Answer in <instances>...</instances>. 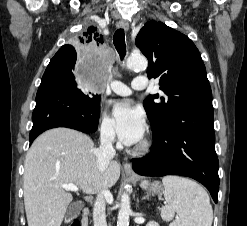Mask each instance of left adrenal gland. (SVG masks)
<instances>
[{
    "label": "left adrenal gland",
    "mask_w": 247,
    "mask_h": 226,
    "mask_svg": "<svg viewBox=\"0 0 247 226\" xmlns=\"http://www.w3.org/2000/svg\"><path fill=\"white\" fill-rule=\"evenodd\" d=\"M144 199H149V194L144 195V196L142 197V200H144Z\"/></svg>",
    "instance_id": "obj_1"
}]
</instances>
